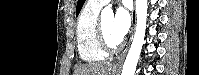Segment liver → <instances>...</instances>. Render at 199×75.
<instances>
[{
	"label": "liver",
	"mask_w": 199,
	"mask_h": 75,
	"mask_svg": "<svg viewBox=\"0 0 199 75\" xmlns=\"http://www.w3.org/2000/svg\"><path fill=\"white\" fill-rule=\"evenodd\" d=\"M111 71L109 63H89L77 67L74 75H111Z\"/></svg>",
	"instance_id": "liver-1"
}]
</instances>
